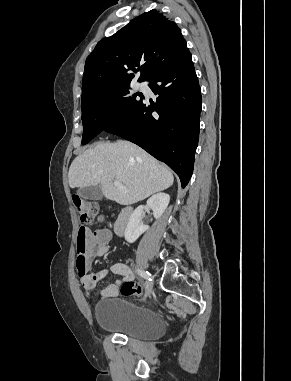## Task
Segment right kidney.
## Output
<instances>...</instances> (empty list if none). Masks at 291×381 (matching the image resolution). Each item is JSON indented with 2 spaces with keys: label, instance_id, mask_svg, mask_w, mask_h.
Returning a JSON list of instances; mask_svg holds the SVG:
<instances>
[{
  "label": "right kidney",
  "instance_id": "1",
  "mask_svg": "<svg viewBox=\"0 0 291 381\" xmlns=\"http://www.w3.org/2000/svg\"><path fill=\"white\" fill-rule=\"evenodd\" d=\"M170 202V196L165 193H157L147 200V206L153 211L155 219H159L166 210ZM144 206H139L131 214L125 230V240L134 243L140 235L149 229L148 225L143 224L142 217Z\"/></svg>",
  "mask_w": 291,
  "mask_h": 381
}]
</instances>
